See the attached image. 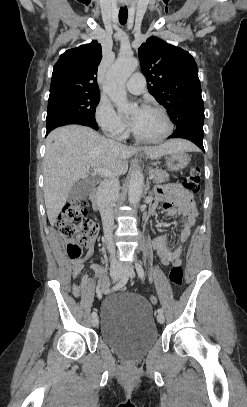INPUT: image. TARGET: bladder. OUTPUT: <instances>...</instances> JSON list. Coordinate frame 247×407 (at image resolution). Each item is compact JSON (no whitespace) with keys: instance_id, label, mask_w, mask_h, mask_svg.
I'll return each mask as SVG.
<instances>
[{"instance_id":"bladder-1","label":"bladder","mask_w":247,"mask_h":407,"mask_svg":"<svg viewBox=\"0 0 247 407\" xmlns=\"http://www.w3.org/2000/svg\"><path fill=\"white\" fill-rule=\"evenodd\" d=\"M100 317L102 341L128 362L144 358L158 341L153 309L140 295L123 291L107 297Z\"/></svg>"}]
</instances>
